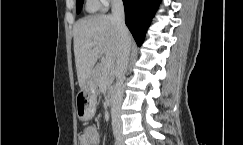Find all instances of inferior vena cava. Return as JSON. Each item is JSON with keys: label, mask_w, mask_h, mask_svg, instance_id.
Here are the masks:
<instances>
[{"label": "inferior vena cava", "mask_w": 243, "mask_h": 145, "mask_svg": "<svg viewBox=\"0 0 243 145\" xmlns=\"http://www.w3.org/2000/svg\"><path fill=\"white\" fill-rule=\"evenodd\" d=\"M112 18L116 22L118 36L120 40V48L116 66L115 94L111 108L112 114L118 117L121 111V104L123 101V82L125 79V74L127 72L131 49L130 36L124 21V6L122 0H112Z\"/></svg>", "instance_id": "1"}]
</instances>
